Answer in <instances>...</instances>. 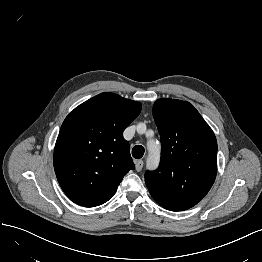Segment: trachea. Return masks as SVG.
<instances>
[{
    "label": "trachea",
    "instance_id": "obj_1",
    "mask_svg": "<svg viewBox=\"0 0 262 262\" xmlns=\"http://www.w3.org/2000/svg\"><path fill=\"white\" fill-rule=\"evenodd\" d=\"M145 149L143 146L141 145H136L134 146V148L132 149V156L135 159H140L142 158V156L144 155Z\"/></svg>",
    "mask_w": 262,
    "mask_h": 262
}]
</instances>
